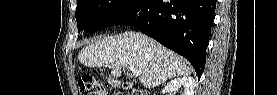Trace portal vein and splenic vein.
Instances as JSON below:
<instances>
[{
  "instance_id": "portal-vein-and-splenic-vein-1",
  "label": "portal vein and splenic vein",
  "mask_w": 277,
  "mask_h": 95,
  "mask_svg": "<svg viewBox=\"0 0 277 95\" xmlns=\"http://www.w3.org/2000/svg\"><path fill=\"white\" fill-rule=\"evenodd\" d=\"M128 69H129L130 72H132V74L134 76H140L141 73H142L140 70H137L136 68H134L132 66H129Z\"/></svg>"
}]
</instances>
